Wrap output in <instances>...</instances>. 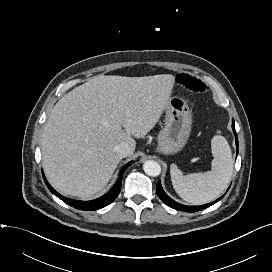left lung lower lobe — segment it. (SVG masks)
<instances>
[{"mask_svg": "<svg viewBox=\"0 0 272 272\" xmlns=\"http://www.w3.org/2000/svg\"><path fill=\"white\" fill-rule=\"evenodd\" d=\"M232 129H233V132H234V135H235V138H236V146H237V152H238V137H237V133L235 131L234 120H232ZM156 190H157V194H158L159 198L166 205H168L171 208L181 210V211H185V212H196V211L205 209V208L215 204L216 202H218L223 197V196L220 197L219 199H217L216 201H214L212 203H208V204L201 205V206H186V205L179 204V203L175 202L174 200H172L170 197H168L166 195V193L163 191L160 181H158V183H157Z\"/></svg>", "mask_w": 272, "mask_h": 272, "instance_id": "0a47b994", "label": "left lung lower lobe"}]
</instances>
